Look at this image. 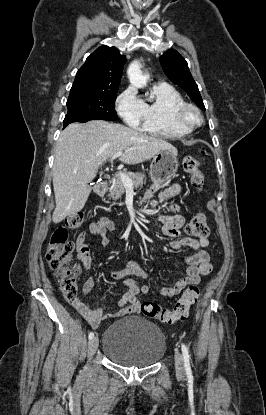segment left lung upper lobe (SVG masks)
Segmentation results:
<instances>
[{
    "instance_id": "left-lung-upper-lobe-1",
    "label": "left lung upper lobe",
    "mask_w": 266,
    "mask_h": 415,
    "mask_svg": "<svg viewBox=\"0 0 266 415\" xmlns=\"http://www.w3.org/2000/svg\"><path fill=\"white\" fill-rule=\"evenodd\" d=\"M160 62L167 77L181 87L199 108L205 110L198 86L186 60L176 50L170 49L160 57Z\"/></svg>"
}]
</instances>
